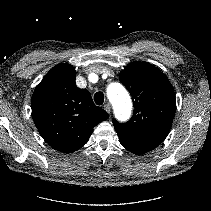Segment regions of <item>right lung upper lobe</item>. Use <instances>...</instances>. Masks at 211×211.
Wrapping results in <instances>:
<instances>
[{"instance_id": "1", "label": "right lung upper lobe", "mask_w": 211, "mask_h": 211, "mask_svg": "<svg viewBox=\"0 0 211 211\" xmlns=\"http://www.w3.org/2000/svg\"><path fill=\"white\" fill-rule=\"evenodd\" d=\"M75 69L68 63L53 67L36 87L32 99L33 121L55 150L72 153L87 142L93 128L109 118L94 105L91 94L75 84Z\"/></svg>"}]
</instances>
